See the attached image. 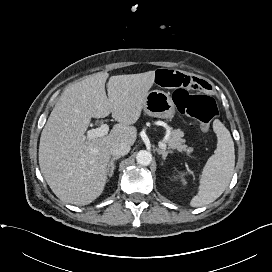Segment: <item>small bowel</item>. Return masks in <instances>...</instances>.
<instances>
[{"mask_svg":"<svg viewBox=\"0 0 272 272\" xmlns=\"http://www.w3.org/2000/svg\"><path fill=\"white\" fill-rule=\"evenodd\" d=\"M156 82L165 88H187L191 90H208L210 85L205 80L185 73L161 69L156 73Z\"/></svg>","mask_w":272,"mask_h":272,"instance_id":"small-bowel-1","label":"small bowel"}]
</instances>
